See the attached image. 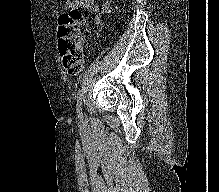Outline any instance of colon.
Returning <instances> with one entry per match:
<instances>
[{
  "label": "colon",
  "mask_w": 219,
  "mask_h": 192,
  "mask_svg": "<svg viewBox=\"0 0 219 192\" xmlns=\"http://www.w3.org/2000/svg\"><path fill=\"white\" fill-rule=\"evenodd\" d=\"M85 19L78 9L60 17L58 25V49L64 69L69 75H76L82 68V31Z\"/></svg>",
  "instance_id": "1"
}]
</instances>
